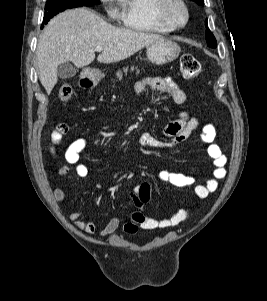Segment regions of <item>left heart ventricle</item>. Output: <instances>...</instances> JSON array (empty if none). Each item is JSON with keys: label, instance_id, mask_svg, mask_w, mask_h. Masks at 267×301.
I'll return each mask as SVG.
<instances>
[{"label": "left heart ventricle", "instance_id": "left-heart-ventricle-1", "mask_svg": "<svg viewBox=\"0 0 267 301\" xmlns=\"http://www.w3.org/2000/svg\"><path fill=\"white\" fill-rule=\"evenodd\" d=\"M172 13L177 21L181 22L183 20L182 11L179 7L175 6L172 10Z\"/></svg>", "mask_w": 267, "mask_h": 301}]
</instances>
